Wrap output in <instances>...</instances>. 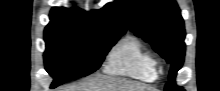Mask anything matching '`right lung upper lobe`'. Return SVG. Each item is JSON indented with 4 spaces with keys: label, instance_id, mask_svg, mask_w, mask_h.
<instances>
[{
    "label": "right lung upper lobe",
    "instance_id": "right-lung-upper-lobe-1",
    "mask_svg": "<svg viewBox=\"0 0 220 91\" xmlns=\"http://www.w3.org/2000/svg\"><path fill=\"white\" fill-rule=\"evenodd\" d=\"M108 3L100 10L86 12L78 8L54 7L50 12V23L47 27L82 26L97 31L112 30L125 33L126 28L119 10Z\"/></svg>",
    "mask_w": 220,
    "mask_h": 91
}]
</instances>
